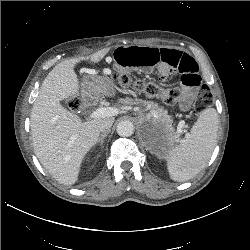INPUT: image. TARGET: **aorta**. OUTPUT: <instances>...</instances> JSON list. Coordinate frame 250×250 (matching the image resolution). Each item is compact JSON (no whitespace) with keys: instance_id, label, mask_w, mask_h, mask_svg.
Instances as JSON below:
<instances>
[{"instance_id":"obj_1","label":"aorta","mask_w":250,"mask_h":250,"mask_svg":"<svg viewBox=\"0 0 250 250\" xmlns=\"http://www.w3.org/2000/svg\"><path fill=\"white\" fill-rule=\"evenodd\" d=\"M116 131L119 136L129 137L134 133V125L131 121L124 120L117 125Z\"/></svg>"}]
</instances>
